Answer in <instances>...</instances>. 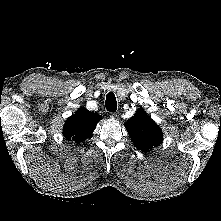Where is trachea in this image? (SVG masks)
<instances>
[{
  "mask_svg": "<svg viewBox=\"0 0 221 221\" xmlns=\"http://www.w3.org/2000/svg\"><path fill=\"white\" fill-rule=\"evenodd\" d=\"M105 106H106V109L110 112H115L117 110V101L113 92H109L107 94Z\"/></svg>",
  "mask_w": 221,
  "mask_h": 221,
  "instance_id": "1",
  "label": "trachea"
}]
</instances>
